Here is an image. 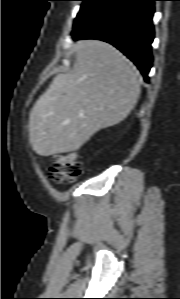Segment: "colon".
Masks as SVG:
<instances>
[{"instance_id":"1","label":"colon","mask_w":180,"mask_h":299,"mask_svg":"<svg viewBox=\"0 0 180 299\" xmlns=\"http://www.w3.org/2000/svg\"><path fill=\"white\" fill-rule=\"evenodd\" d=\"M83 166L73 153H61L53 157L50 179L57 184L73 182L82 174Z\"/></svg>"}]
</instances>
